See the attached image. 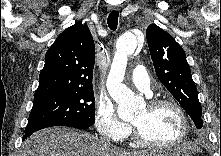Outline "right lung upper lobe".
I'll use <instances>...</instances> for the list:
<instances>
[{"label":"right lung upper lobe","instance_id":"obj_1","mask_svg":"<svg viewBox=\"0 0 221 156\" xmlns=\"http://www.w3.org/2000/svg\"><path fill=\"white\" fill-rule=\"evenodd\" d=\"M95 44L88 27L76 22L48 49L34 98L93 89Z\"/></svg>","mask_w":221,"mask_h":156}]
</instances>
